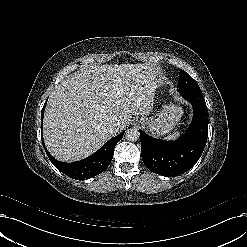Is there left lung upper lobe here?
Segmentation results:
<instances>
[{
    "mask_svg": "<svg viewBox=\"0 0 247 247\" xmlns=\"http://www.w3.org/2000/svg\"><path fill=\"white\" fill-rule=\"evenodd\" d=\"M192 85H197V82L184 70H181L179 74L178 87L184 88Z\"/></svg>",
    "mask_w": 247,
    "mask_h": 247,
    "instance_id": "1",
    "label": "left lung upper lobe"
}]
</instances>
